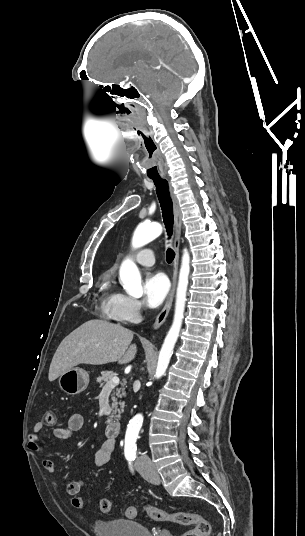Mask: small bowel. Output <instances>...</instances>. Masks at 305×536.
<instances>
[{"instance_id":"1","label":"small bowel","mask_w":305,"mask_h":536,"mask_svg":"<svg viewBox=\"0 0 305 536\" xmlns=\"http://www.w3.org/2000/svg\"><path fill=\"white\" fill-rule=\"evenodd\" d=\"M84 426V418L80 413H74L72 414L68 421L66 426L64 427H56L53 430V435L58 440H67L69 439L74 433L80 431ZM44 427H33L32 433L29 437V448L34 451L38 452L40 451V433L43 431ZM115 448V441L111 439H106L102 442L100 448L97 450L94 456V465L97 467H101L106 465L111 458V454L113 453ZM43 468L50 474H53L55 472V463L51 459H43L42 461ZM84 483L82 480H76L68 483L65 487V493L67 495L75 496L76 494H79Z\"/></svg>"}]
</instances>
